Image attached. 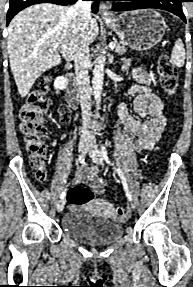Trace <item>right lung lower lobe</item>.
Wrapping results in <instances>:
<instances>
[{"mask_svg":"<svg viewBox=\"0 0 193 287\" xmlns=\"http://www.w3.org/2000/svg\"><path fill=\"white\" fill-rule=\"evenodd\" d=\"M77 0H10L9 1V9L7 12V25L11 21V19L22 9L31 6L33 4H38V3H53V4H58V5H68V4H73ZM94 3L92 4V11L94 13H97L98 11V1L99 0H92Z\"/></svg>","mask_w":193,"mask_h":287,"instance_id":"98d812e1","label":"right lung lower lobe"}]
</instances>
